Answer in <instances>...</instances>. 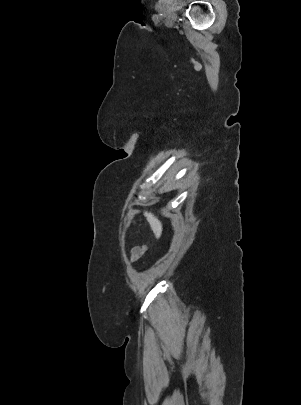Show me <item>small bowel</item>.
<instances>
[{"label":"small bowel","instance_id":"obj_1","mask_svg":"<svg viewBox=\"0 0 301 405\" xmlns=\"http://www.w3.org/2000/svg\"><path fill=\"white\" fill-rule=\"evenodd\" d=\"M144 253L143 246H135L131 249L130 260L131 262H136Z\"/></svg>","mask_w":301,"mask_h":405}]
</instances>
